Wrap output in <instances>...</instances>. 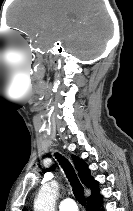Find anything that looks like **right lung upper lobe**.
<instances>
[{"label": "right lung upper lobe", "mask_w": 133, "mask_h": 211, "mask_svg": "<svg viewBox=\"0 0 133 211\" xmlns=\"http://www.w3.org/2000/svg\"><path fill=\"white\" fill-rule=\"evenodd\" d=\"M72 158L81 182L92 191L91 196L87 200L100 198L101 195L99 194L98 182L91 176L86 163L75 155H72ZM23 211H25V209Z\"/></svg>", "instance_id": "right-lung-upper-lobe-1"}]
</instances>
